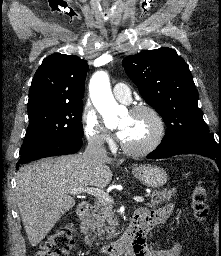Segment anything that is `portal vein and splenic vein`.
Listing matches in <instances>:
<instances>
[{
  "label": "portal vein and splenic vein",
  "mask_w": 221,
  "mask_h": 256,
  "mask_svg": "<svg viewBox=\"0 0 221 256\" xmlns=\"http://www.w3.org/2000/svg\"><path fill=\"white\" fill-rule=\"evenodd\" d=\"M69 193L71 195L87 193V194L93 195L100 201H106V202H110V203L114 202V200L107 193H105L103 190H101L99 188H94V187L78 188V189L71 190ZM133 199H134V201L139 202V203L144 202V197H142V196H135V197H133Z\"/></svg>",
  "instance_id": "18ae733b"
}]
</instances>
